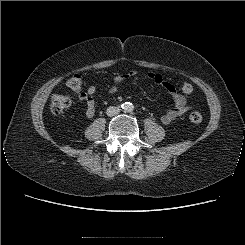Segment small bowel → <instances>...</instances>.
<instances>
[{"instance_id":"obj_1","label":"small bowel","mask_w":245,"mask_h":245,"mask_svg":"<svg viewBox=\"0 0 245 245\" xmlns=\"http://www.w3.org/2000/svg\"><path fill=\"white\" fill-rule=\"evenodd\" d=\"M135 75L136 71H130L127 74L117 76L109 88V93H115L119 85L125 79L131 78ZM147 77L156 84H159L163 88H165L172 98V107L161 116V122L163 124H170L177 118L181 117L188 110L185 97L176 90L175 86L171 82L166 80L162 75L155 72H149L147 74ZM95 92L96 86L90 85L85 92H81L79 94V99L85 103L86 116L88 118H92L95 115V101L93 99V95Z\"/></svg>"}]
</instances>
